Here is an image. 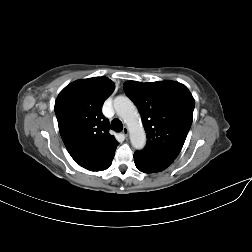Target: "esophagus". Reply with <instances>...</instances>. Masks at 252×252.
I'll return each instance as SVG.
<instances>
[{
    "mask_svg": "<svg viewBox=\"0 0 252 252\" xmlns=\"http://www.w3.org/2000/svg\"><path fill=\"white\" fill-rule=\"evenodd\" d=\"M122 133L124 136H128V128L126 126L123 128Z\"/></svg>",
    "mask_w": 252,
    "mask_h": 252,
    "instance_id": "esophagus-1",
    "label": "esophagus"
}]
</instances>
